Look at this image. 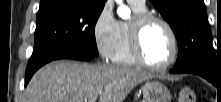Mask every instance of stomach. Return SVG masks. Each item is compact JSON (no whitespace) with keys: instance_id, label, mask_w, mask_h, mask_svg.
I'll return each instance as SVG.
<instances>
[{"instance_id":"0dacf381","label":"stomach","mask_w":221,"mask_h":102,"mask_svg":"<svg viewBox=\"0 0 221 102\" xmlns=\"http://www.w3.org/2000/svg\"><path fill=\"white\" fill-rule=\"evenodd\" d=\"M144 102H170L169 90L158 81H147L142 86Z\"/></svg>"}]
</instances>
